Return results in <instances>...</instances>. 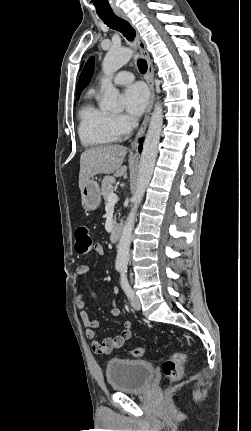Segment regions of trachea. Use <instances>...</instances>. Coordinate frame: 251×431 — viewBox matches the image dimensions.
I'll list each match as a JSON object with an SVG mask.
<instances>
[{"label":"trachea","instance_id":"trachea-1","mask_svg":"<svg viewBox=\"0 0 251 431\" xmlns=\"http://www.w3.org/2000/svg\"><path fill=\"white\" fill-rule=\"evenodd\" d=\"M102 21L110 28L121 32L128 41H133L136 32L135 29L130 25V23L114 13H107L104 15H99ZM137 66L140 73L144 74L147 72V62L144 59H138Z\"/></svg>","mask_w":251,"mask_h":431}]
</instances>
